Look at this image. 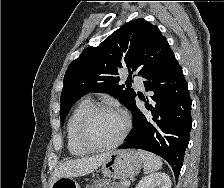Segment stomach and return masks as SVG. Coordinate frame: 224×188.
<instances>
[{
  "instance_id": "stomach-1",
  "label": "stomach",
  "mask_w": 224,
  "mask_h": 188,
  "mask_svg": "<svg viewBox=\"0 0 224 188\" xmlns=\"http://www.w3.org/2000/svg\"><path fill=\"white\" fill-rule=\"evenodd\" d=\"M142 160L134 150H115L102 164V173L114 179H126L139 173ZM51 188H80L72 177L58 178Z\"/></svg>"
}]
</instances>
